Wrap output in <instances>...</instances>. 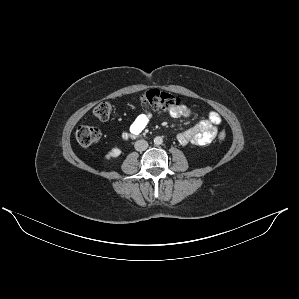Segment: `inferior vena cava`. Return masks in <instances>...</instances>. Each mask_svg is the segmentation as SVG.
Here are the masks:
<instances>
[{
    "instance_id": "inferior-vena-cava-1",
    "label": "inferior vena cava",
    "mask_w": 299,
    "mask_h": 299,
    "mask_svg": "<svg viewBox=\"0 0 299 299\" xmlns=\"http://www.w3.org/2000/svg\"><path fill=\"white\" fill-rule=\"evenodd\" d=\"M134 147L137 151H145L148 148V142L145 140H138L135 142Z\"/></svg>"
}]
</instances>
